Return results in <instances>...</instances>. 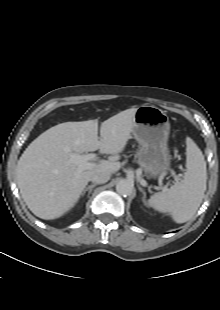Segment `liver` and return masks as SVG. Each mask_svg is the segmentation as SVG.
Returning <instances> with one entry per match:
<instances>
[{"label": "liver", "mask_w": 220, "mask_h": 310, "mask_svg": "<svg viewBox=\"0 0 220 310\" xmlns=\"http://www.w3.org/2000/svg\"><path fill=\"white\" fill-rule=\"evenodd\" d=\"M136 110H124L102 122L100 138L98 121L88 120L58 124L32 141L16 168L17 185L30 211L45 220L59 218L77 203L93 174L117 172L120 162L102 160L81 170L70 157L98 149L117 156L131 137Z\"/></svg>", "instance_id": "6515ba94"}]
</instances>
